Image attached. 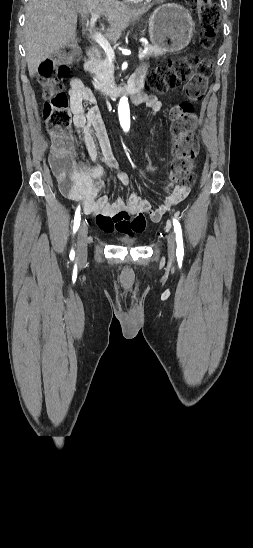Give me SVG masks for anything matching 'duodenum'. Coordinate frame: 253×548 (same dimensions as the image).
I'll use <instances>...</instances> for the list:
<instances>
[{
	"label": "duodenum",
	"instance_id": "1",
	"mask_svg": "<svg viewBox=\"0 0 253 548\" xmlns=\"http://www.w3.org/2000/svg\"><path fill=\"white\" fill-rule=\"evenodd\" d=\"M99 56V50L96 47H90L87 51V59L95 60ZM143 85V78L139 75L134 76L126 87H108L103 89V94L109 98H116L122 95L136 96Z\"/></svg>",
	"mask_w": 253,
	"mask_h": 548
}]
</instances>
